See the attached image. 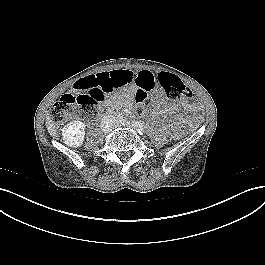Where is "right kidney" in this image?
<instances>
[{
    "label": "right kidney",
    "instance_id": "1",
    "mask_svg": "<svg viewBox=\"0 0 265 265\" xmlns=\"http://www.w3.org/2000/svg\"><path fill=\"white\" fill-rule=\"evenodd\" d=\"M85 137V124L81 121H72L62 129L64 143L70 147H79Z\"/></svg>",
    "mask_w": 265,
    "mask_h": 265
}]
</instances>
